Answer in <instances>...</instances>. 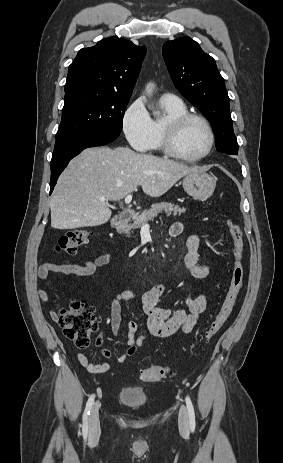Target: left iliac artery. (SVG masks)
I'll return each instance as SVG.
<instances>
[{"label":"left iliac artery","instance_id":"1","mask_svg":"<svg viewBox=\"0 0 283 463\" xmlns=\"http://www.w3.org/2000/svg\"><path fill=\"white\" fill-rule=\"evenodd\" d=\"M186 405H187V410H188V415H189V424H190V429L191 431L195 430V412H194V407L191 402L190 397H186Z\"/></svg>","mask_w":283,"mask_h":463}]
</instances>
